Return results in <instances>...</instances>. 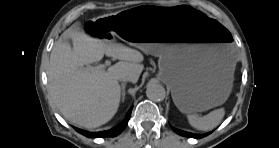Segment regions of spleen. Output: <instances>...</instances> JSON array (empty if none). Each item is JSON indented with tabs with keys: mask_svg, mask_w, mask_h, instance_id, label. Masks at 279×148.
Returning <instances> with one entry per match:
<instances>
[{
	"mask_svg": "<svg viewBox=\"0 0 279 148\" xmlns=\"http://www.w3.org/2000/svg\"><path fill=\"white\" fill-rule=\"evenodd\" d=\"M224 115H225L224 108H220L211 111L210 113H208L203 117H199L198 115L195 114H189L187 118L189 124L192 127L198 130L208 131L218 126L221 123Z\"/></svg>",
	"mask_w": 279,
	"mask_h": 148,
	"instance_id": "obj_1",
	"label": "spleen"
}]
</instances>
